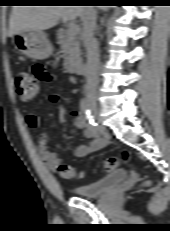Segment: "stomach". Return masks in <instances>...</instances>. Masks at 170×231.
I'll return each instance as SVG.
<instances>
[{
	"mask_svg": "<svg viewBox=\"0 0 170 231\" xmlns=\"http://www.w3.org/2000/svg\"><path fill=\"white\" fill-rule=\"evenodd\" d=\"M13 43L19 53L32 59H45L53 48L43 31L24 30L14 35Z\"/></svg>",
	"mask_w": 170,
	"mask_h": 231,
	"instance_id": "stomach-1",
	"label": "stomach"
}]
</instances>
